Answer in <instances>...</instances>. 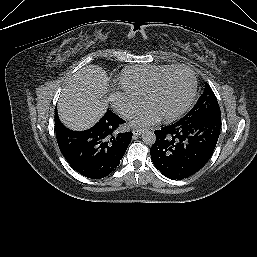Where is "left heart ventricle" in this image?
Instances as JSON below:
<instances>
[{"instance_id": "1", "label": "left heart ventricle", "mask_w": 257, "mask_h": 257, "mask_svg": "<svg viewBox=\"0 0 257 257\" xmlns=\"http://www.w3.org/2000/svg\"><path fill=\"white\" fill-rule=\"evenodd\" d=\"M191 76L187 71L179 70L170 74L152 96L148 107L160 116L178 109L186 100L191 88Z\"/></svg>"}]
</instances>
